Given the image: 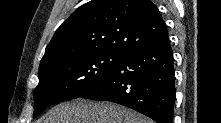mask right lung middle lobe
Wrapping results in <instances>:
<instances>
[{
  "label": "right lung middle lobe",
  "instance_id": "dd1d6c3e",
  "mask_svg": "<svg viewBox=\"0 0 221 123\" xmlns=\"http://www.w3.org/2000/svg\"><path fill=\"white\" fill-rule=\"evenodd\" d=\"M126 58L125 53L91 50L63 56L39 66L34 117L50 104L81 97L103 83Z\"/></svg>",
  "mask_w": 221,
  "mask_h": 123
}]
</instances>
